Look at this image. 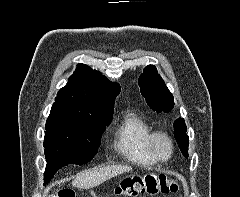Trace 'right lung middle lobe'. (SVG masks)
<instances>
[{"instance_id": "1", "label": "right lung middle lobe", "mask_w": 240, "mask_h": 197, "mask_svg": "<svg viewBox=\"0 0 240 197\" xmlns=\"http://www.w3.org/2000/svg\"><path fill=\"white\" fill-rule=\"evenodd\" d=\"M107 122L69 123L47 120L44 147L47 166L44 184L68 164L82 165L92 160Z\"/></svg>"}]
</instances>
